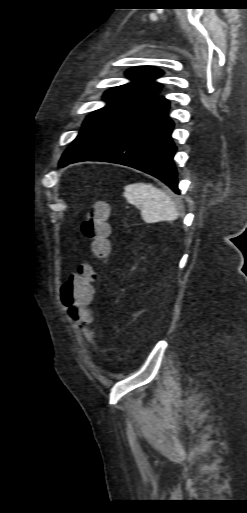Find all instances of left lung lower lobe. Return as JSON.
I'll return each instance as SVG.
<instances>
[{
  "mask_svg": "<svg viewBox=\"0 0 247 513\" xmlns=\"http://www.w3.org/2000/svg\"><path fill=\"white\" fill-rule=\"evenodd\" d=\"M160 89L85 125L59 166L86 160L123 164L153 175L179 194L174 123L167 113L169 102L157 97Z\"/></svg>",
  "mask_w": 247,
  "mask_h": 513,
  "instance_id": "0a47b994",
  "label": "left lung lower lobe"
}]
</instances>
